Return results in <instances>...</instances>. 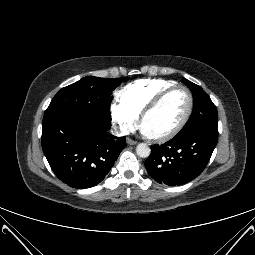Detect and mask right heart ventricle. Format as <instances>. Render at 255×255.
Returning a JSON list of instances; mask_svg holds the SVG:
<instances>
[{
  "label": "right heart ventricle",
  "instance_id": "right-heart-ventricle-1",
  "mask_svg": "<svg viewBox=\"0 0 255 255\" xmlns=\"http://www.w3.org/2000/svg\"><path fill=\"white\" fill-rule=\"evenodd\" d=\"M174 85V81L165 79L137 80L125 86L120 96L135 112L141 114L160 92Z\"/></svg>",
  "mask_w": 255,
  "mask_h": 255
}]
</instances>
